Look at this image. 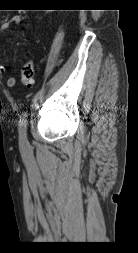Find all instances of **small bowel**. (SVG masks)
I'll use <instances>...</instances> for the list:
<instances>
[{"label": "small bowel", "instance_id": "c3829d8e", "mask_svg": "<svg viewBox=\"0 0 138 253\" xmlns=\"http://www.w3.org/2000/svg\"><path fill=\"white\" fill-rule=\"evenodd\" d=\"M20 21H21L20 17L14 16V17L10 18L8 21H5L4 23H2L1 30L3 32L8 31L12 26L18 25L20 23ZM7 71H8L7 64L2 63L1 62V58H0V73L4 74ZM15 84H16V78L15 77L8 78V80H7V86L9 88L14 87Z\"/></svg>", "mask_w": 138, "mask_h": 253}]
</instances>
